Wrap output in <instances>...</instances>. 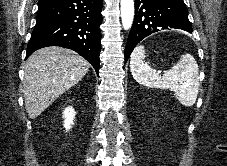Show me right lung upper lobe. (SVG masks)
I'll return each mask as SVG.
<instances>
[{"mask_svg": "<svg viewBox=\"0 0 227 166\" xmlns=\"http://www.w3.org/2000/svg\"><path fill=\"white\" fill-rule=\"evenodd\" d=\"M50 1H53V0H39V5L50 2Z\"/></svg>", "mask_w": 227, "mask_h": 166, "instance_id": "cb5924a9", "label": "right lung upper lobe"}]
</instances>
